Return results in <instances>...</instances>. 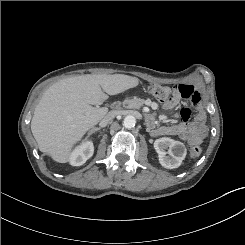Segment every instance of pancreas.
<instances>
[{"label": "pancreas", "instance_id": "1", "mask_svg": "<svg viewBox=\"0 0 245 245\" xmlns=\"http://www.w3.org/2000/svg\"><path fill=\"white\" fill-rule=\"evenodd\" d=\"M144 104V100L141 98H132L126 99L122 103H119V106L122 105L127 109H139Z\"/></svg>", "mask_w": 245, "mask_h": 245}]
</instances>
